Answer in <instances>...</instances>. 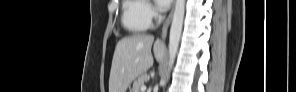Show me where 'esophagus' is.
<instances>
[{"instance_id":"obj_1","label":"esophagus","mask_w":296,"mask_h":92,"mask_svg":"<svg viewBox=\"0 0 296 92\" xmlns=\"http://www.w3.org/2000/svg\"><path fill=\"white\" fill-rule=\"evenodd\" d=\"M174 5H175V0L173 1V6L172 9L167 17V19L165 20L163 27H162V32H161V38L164 40L166 38V34H167V30L168 27L170 26V23L172 21V17H173V11H174Z\"/></svg>"}]
</instances>
